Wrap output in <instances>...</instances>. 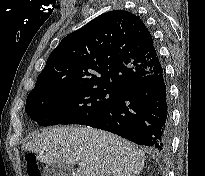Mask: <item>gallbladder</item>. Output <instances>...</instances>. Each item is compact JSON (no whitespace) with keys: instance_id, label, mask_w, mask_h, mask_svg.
<instances>
[{"instance_id":"bac80fb5","label":"gallbladder","mask_w":205,"mask_h":176,"mask_svg":"<svg viewBox=\"0 0 205 176\" xmlns=\"http://www.w3.org/2000/svg\"><path fill=\"white\" fill-rule=\"evenodd\" d=\"M43 176H72V168L66 164H47L43 170Z\"/></svg>"}]
</instances>
